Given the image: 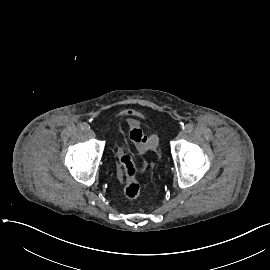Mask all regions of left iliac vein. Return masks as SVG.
I'll list each match as a JSON object with an SVG mask.
<instances>
[{
	"mask_svg": "<svg viewBox=\"0 0 270 270\" xmlns=\"http://www.w3.org/2000/svg\"><path fill=\"white\" fill-rule=\"evenodd\" d=\"M185 136H186V132L182 130L178 133L177 139H183Z\"/></svg>",
	"mask_w": 270,
	"mask_h": 270,
	"instance_id": "4c4485c4",
	"label": "left iliac vein"
}]
</instances>
